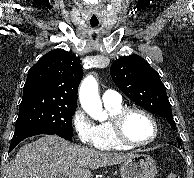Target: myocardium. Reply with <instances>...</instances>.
Masks as SVG:
<instances>
[{
    "label": "myocardium",
    "instance_id": "1",
    "mask_svg": "<svg viewBox=\"0 0 194 178\" xmlns=\"http://www.w3.org/2000/svg\"><path fill=\"white\" fill-rule=\"evenodd\" d=\"M132 113H140L147 117L149 121L153 125L154 134L153 137L143 143H137L128 138L125 132V122L128 118V116ZM110 124L115 136V139L123 146L130 147V148H140V147H146L151 144H153L158 136H159V126L155 119V117L147 110L139 107H125L122 110H120L118 113L113 115L110 120Z\"/></svg>",
    "mask_w": 194,
    "mask_h": 178
}]
</instances>
